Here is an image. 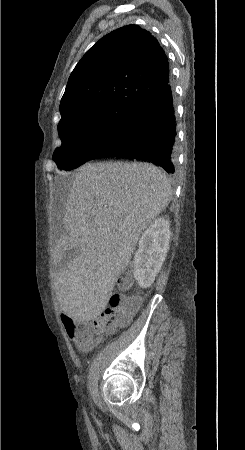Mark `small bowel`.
<instances>
[{"label":"small bowel","instance_id":"1","mask_svg":"<svg viewBox=\"0 0 245 450\" xmlns=\"http://www.w3.org/2000/svg\"><path fill=\"white\" fill-rule=\"evenodd\" d=\"M79 287H80V283L77 280H74L72 282V289H77ZM72 299H73L72 296H67L60 303L61 316H62V318L69 317V318L73 319L74 321H83L84 320L83 318H79L75 314V310L72 305V302H73ZM70 337L72 338V340L76 344V346L83 352H87V351L91 350L92 348H94L95 346L100 344L103 340L102 335H97L95 337L92 336L91 339L86 342L80 341L78 339L77 335H72Z\"/></svg>","mask_w":245,"mask_h":450}]
</instances>
